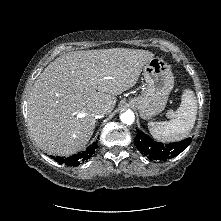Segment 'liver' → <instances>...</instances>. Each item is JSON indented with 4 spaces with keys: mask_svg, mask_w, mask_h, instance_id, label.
I'll return each mask as SVG.
<instances>
[{
    "mask_svg": "<svg viewBox=\"0 0 221 221\" xmlns=\"http://www.w3.org/2000/svg\"><path fill=\"white\" fill-rule=\"evenodd\" d=\"M153 57L145 50L112 48L73 51L56 58L29 94L27 124L33 140L51 155L82 150L95 129L92 110L100 106L111 113L115 96L135 86Z\"/></svg>",
    "mask_w": 221,
    "mask_h": 221,
    "instance_id": "liver-1",
    "label": "liver"
}]
</instances>
